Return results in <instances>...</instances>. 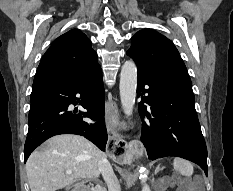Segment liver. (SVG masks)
I'll return each mask as SVG.
<instances>
[{
	"mask_svg": "<svg viewBox=\"0 0 233 191\" xmlns=\"http://www.w3.org/2000/svg\"><path fill=\"white\" fill-rule=\"evenodd\" d=\"M106 155L86 138L61 134L53 136L42 150L34 151L26 162L31 191H56L76 180L97 178L99 160ZM72 170V174H66Z\"/></svg>",
	"mask_w": 233,
	"mask_h": 191,
	"instance_id": "1",
	"label": "liver"
}]
</instances>
